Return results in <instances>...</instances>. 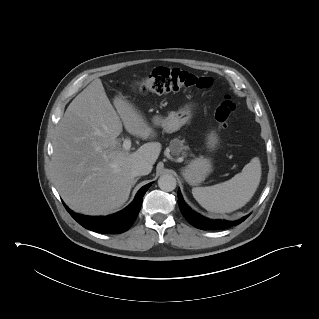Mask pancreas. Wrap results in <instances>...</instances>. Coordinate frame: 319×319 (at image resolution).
<instances>
[{
    "mask_svg": "<svg viewBox=\"0 0 319 319\" xmlns=\"http://www.w3.org/2000/svg\"><path fill=\"white\" fill-rule=\"evenodd\" d=\"M184 142V140H180L178 138H174L170 141L169 149L173 156H181L182 158H186L188 155L192 156V154L188 153V151L190 150L189 146L184 145Z\"/></svg>",
    "mask_w": 319,
    "mask_h": 319,
    "instance_id": "cf45deb5",
    "label": "pancreas"
}]
</instances>
